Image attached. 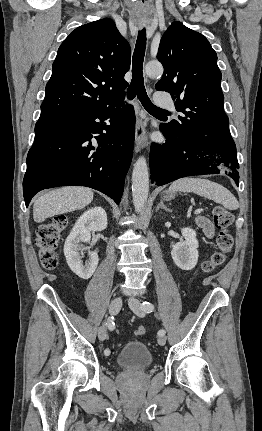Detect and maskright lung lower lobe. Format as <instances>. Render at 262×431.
<instances>
[{
  "label": "right lung lower lobe",
  "mask_w": 262,
  "mask_h": 431,
  "mask_svg": "<svg viewBox=\"0 0 262 431\" xmlns=\"http://www.w3.org/2000/svg\"><path fill=\"white\" fill-rule=\"evenodd\" d=\"M119 106L94 113L40 115L23 180L26 206L37 192L67 185L94 188L119 204L135 132L133 107Z\"/></svg>",
  "instance_id": "98d812e1"
}]
</instances>
